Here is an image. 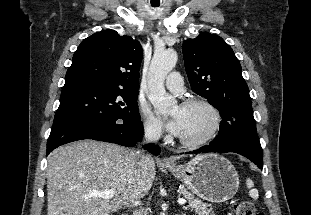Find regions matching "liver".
<instances>
[{
	"label": "liver",
	"instance_id": "6515ba94",
	"mask_svg": "<svg viewBox=\"0 0 311 215\" xmlns=\"http://www.w3.org/2000/svg\"><path fill=\"white\" fill-rule=\"evenodd\" d=\"M133 151L115 144L78 141L47 158V215H109L144 197L156 175L150 155L141 164ZM113 190L111 199L91 195Z\"/></svg>",
	"mask_w": 311,
	"mask_h": 215
}]
</instances>
